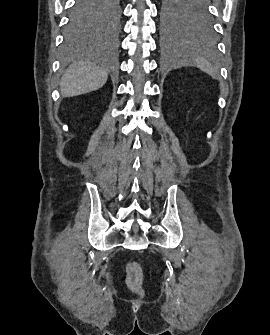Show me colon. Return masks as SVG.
Instances as JSON below:
<instances>
[{
	"label": "colon",
	"instance_id": "obj_1",
	"mask_svg": "<svg viewBox=\"0 0 270 335\" xmlns=\"http://www.w3.org/2000/svg\"><path fill=\"white\" fill-rule=\"evenodd\" d=\"M142 270L138 262L130 261L126 265V279L127 287L136 294L142 293Z\"/></svg>",
	"mask_w": 270,
	"mask_h": 335
}]
</instances>
